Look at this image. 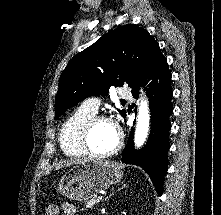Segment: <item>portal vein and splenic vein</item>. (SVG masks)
<instances>
[{
    "label": "portal vein and splenic vein",
    "instance_id": "portal-vein-and-splenic-vein-1",
    "mask_svg": "<svg viewBox=\"0 0 221 215\" xmlns=\"http://www.w3.org/2000/svg\"><path fill=\"white\" fill-rule=\"evenodd\" d=\"M99 199L102 200V199H103V196H99Z\"/></svg>",
    "mask_w": 221,
    "mask_h": 215
}]
</instances>
